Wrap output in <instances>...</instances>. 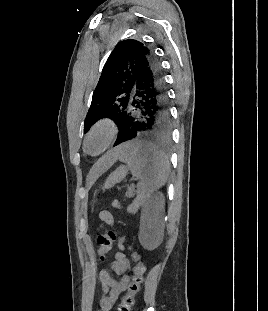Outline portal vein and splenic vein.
<instances>
[{
  "label": "portal vein and splenic vein",
  "mask_w": 268,
  "mask_h": 311,
  "mask_svg": "<svg viewBox=\"0 0 268 311\" xmlns=\"http://www.w3.org/2000/svg\"><path fill=\"white\" fill-rule=\"evenodd\" d=\"M126 195H129V196H131V195H132V193H131V192H127V193H126Z\"/></svg>",
  "instance_id": "portal-vein-and-splenic-vein-1"
}]
</instances>
